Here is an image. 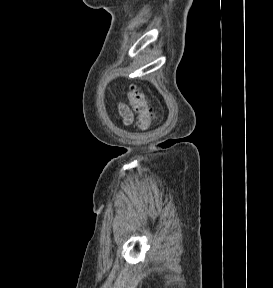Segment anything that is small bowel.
<instances>
[{"instance_id": "obj_1", "label": "small bowel", "mask_w": 273, "mask_h": 288, "mask_svg": "<svg viewBox=\"0 0 273 288\" xmlns=\"http://www.w3.org/2000/svg\"><path fill=\"white\" fill-rule=\"evenodd\" d=\"M119 112L125 125H130L133 122V113L127 105L119 104Z\"/></svg>"}]
</instances>
